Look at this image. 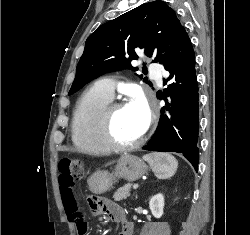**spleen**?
Instances as JSON below:
<instances>
[{
    "instance_id": "spleen-1",
    "label": "spleen",
    "mask_w": 250,
    "mask_h": 235,
    "mask_svg": "<svg viewBox=\"0 0 250 235\" xmlns=\"http://www.w3.org/2000/svg\"><path fill=\"white\" fill-rule=\"evenodd\" d=\"M143 159L149 163L152 171L158 179L172 177L178 168V161L168 153L153 152L145 154Z\"/></svg>"
}]
</instances>
